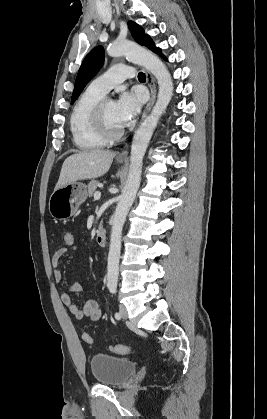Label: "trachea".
Masks as SVG:
<instances>
[{"mask_svg":"<svg viewBox=\"0 0 267 419\" xmlns=\"http://www.w3.org/2000/svg\"><path fill=\"white\" fill-rule=\"evenodd\" d=\"M138 79H139V80H145V79H146L145 74H144V73H142V72H140V73L138 74Z\"/></svg>","mask_w":267,"mask_h":419,"instance_id":"1","label":"trachea"}]
</instances>
